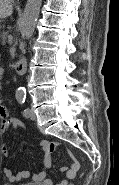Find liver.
<instances>
[{
  "instance_id": "1",
  "label": "liver",
  "mask_w": 119,
  "mask_h": 185,
  "mask_svg": "<svg viewBox=\"0 0 119 185\" xmlns=\"http://www.w3.org/2000/svg\"><path fill=\"white\" fill-rule=\"evenodd\" d=\"M12 0H0V19L10 16L13 12Z\"/></svg>"
}]
</instances>
